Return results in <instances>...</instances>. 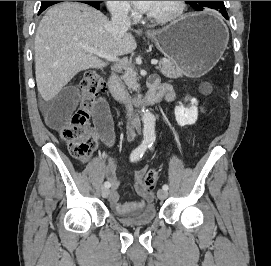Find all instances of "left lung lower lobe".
I'll list each match as a JSON object with an SVG mask.
<instances>
[{
    "label": "left lung lower lobe",
    "instance_id": "0a47b994",
    "mask_svg": "<svg viewBox=\"0 0 271 266\" xmlns=\"http://www.w3.org/2000/svg\"><path fill=\"white\" fill-rule=\"evenodd\" d=\"M225 19H228V14L227 12H221L220 13Z\"/></svg>",
    "mask_w": 271,
    "mask_h": 266
}]
</instances>
